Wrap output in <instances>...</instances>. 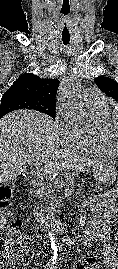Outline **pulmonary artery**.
Listing matches in <instances>:
<instances>
[{
  "label": "pulmonary artery",
  "instance_id": "1",
  "mask_svg": "<svg viewBox=\"0 0 118 269\" xmlns=\"http://www.w3.org/2000/svg\"><path fill=\"white\" fill-rule=\"evenodd\" d=\"M84 104L91 111L101 110L106 108V98L99 89L91 87L84 92Z\"/></svg>",
  "mask_w": 118,
  "mask_h": 269
}]
</instances>
